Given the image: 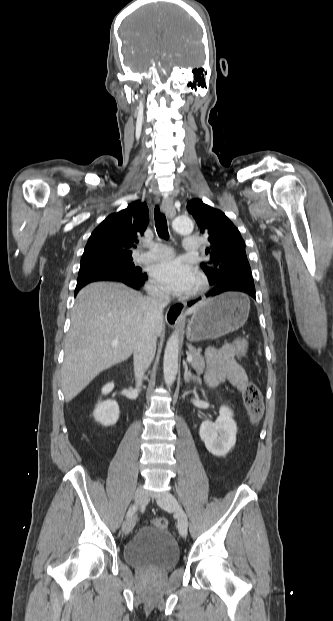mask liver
Here are the masks:
<instances>
[{
  "label": "liver",
  "mask_w": 333,
  "mask_h": 621,
  "mask_svg": "<svg viewBox=\"0 0 333 621\" xmlns=\"http://www.w3.org/2000/svg\"><path fill=\"white\" fill-rule=\"evenodd\" d=\"M203 302L186 313H194ZM146 316L145 298L123 284L97 282L80 290L64 347L62 391L66 402L100 372L131 356ZM163 328L162 321L157 325L158 335Z\"/></svg>",
  "instance_id": "liver-1"
}]
</instances>
